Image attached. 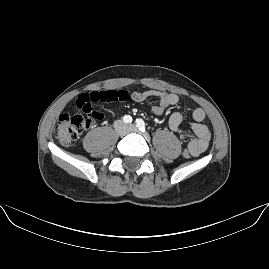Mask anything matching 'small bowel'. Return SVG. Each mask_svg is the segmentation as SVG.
<instances>
[{"mask_svg": "<svg viewBox=\"0 0 269 269\" xmlns=\"http://www.w3.org/2000/svg\"><path fill=\"white\" fill-rule=\"evenodd\" d=\"M94 94V93H92ZM134 101L142 102L148 98H156L158 104L152 107L155 115H161L169 106L179 103V96L175 93H169L161 90H149L145 92H134L131 95ZM193 124L189 130L181 127L183 122V113L181 111L173 112L168 119L169 128L183 136L193 134L194 139L189 141L188 149L193 157H198L206 151L209 146L211 133L207 125L203 123L205 112L201 108H195L192 112ZM101 119V118H100Z\"/></svg>", "mask_w": 269, "mask_h": 269, "instance_id": "1", "label": "small bowel"}]
</instances>
